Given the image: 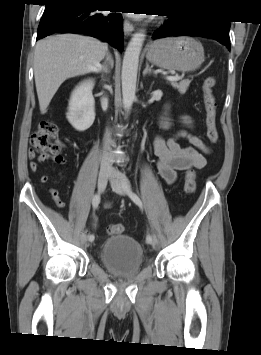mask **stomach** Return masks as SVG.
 I'll list each match as a JSON object with an SVG mask.
<instances>
[{
  "label": "stomach",
  "instance_id": "obj_1",
  "mask_svg": "<svg viewBox=\"0 0 261 355\" xmlns=\"http://www.w3.org/2000/svg\"><path fill=\"white\" fill-rule=\"evenodd\" d=\"M147 60L159 68L181 72L194 71L204 61L202 44L191 37H170L154 41Z\"/></svg>",
  "mask_w": 261,
  "mask_h": 355
}]
</instances>
